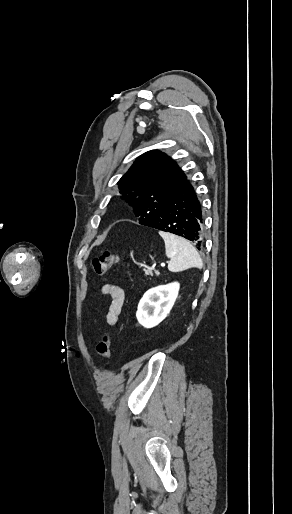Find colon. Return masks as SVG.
Wrapping results in <instances>:
<instances>
[{"label": "colon", "mask_w": 292, "mask_h": 514, "mask_svg": "<svg viewBox=\"0 0 292 514\" xmlns=\"http://www.w3.org/2000/svg\"><path fill=\"white\" fill-rule=\"evenodd\" d=\"M122 261V257L111 249H105L98 257L92 260V271L95 275H104L110 268ZM113 336L106 332L96 345L97 355L102 359H110Z\"/></svg>", "instance_id": "1"}]
</instances>
